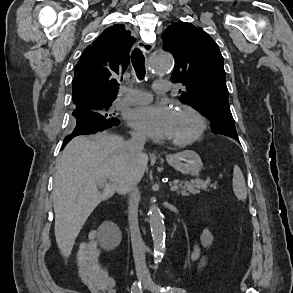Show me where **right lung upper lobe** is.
Here are the masks:
<instances>
[{
	"label": "right lung upper lobe",
	"instance_id": "right-lung-upper-lobe-1",
	"mask_svg": "<svg viewBox=\"0 0 293 293\" xmlns=\"http://www.w3.org/2000/svg\"><path fill=\"white\" fill-rule=\"evenodd\" d=\"M133 43L131 32L123 24H116L105 29L84 50L72 82L75 110L95 112L94 102L113 100L128 66V51Z\"/></svg>",
	"mask_w": 293,
	"mask_h": 293
}]
</instances>
